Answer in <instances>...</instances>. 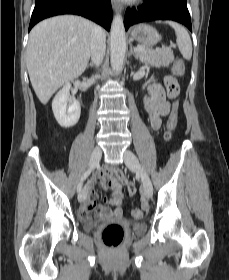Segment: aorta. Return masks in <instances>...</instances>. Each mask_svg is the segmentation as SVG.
Segmentation results:
<instances>
[{
  "instance_id": "obj_1",
  "label": "aorta",
  "mask_w": 229,
  "mask_h": 280,
  "mask_svg": "<svg viewBox=\"0 0 229 280\" xmlns=\"http://www.w3.org/2000/svg\"><path fill=\"white\" fill-rule=\"evenodd\" d=\"M110 46L112 70L119 72L122 69L126 53L125 29L121 15H116L112 21Z\"/></svg>"
}]
</instances>
